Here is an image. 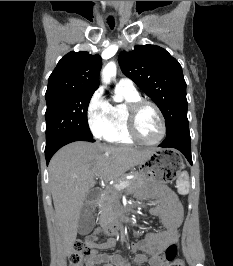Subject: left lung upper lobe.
Here are the masks:
<instances>
[{"label":"left lung upper lobe","instance_id":"1","mask_svg":"<svg viewBox=\"0 0 233 266\" xmlns=\"http://www.w3.org/2000/svg\"><path fill=\"white\" fill-rule=\"evenodd\" d=\"M122 72L132 79L159 107L166 130L187 116L186 82L181 65L165 49L137 45L118 58Z\"/></svg>","mask_w":233,"mask_h":266}]
</instances>
